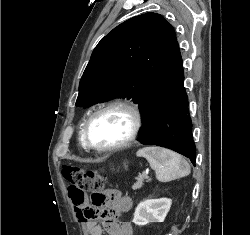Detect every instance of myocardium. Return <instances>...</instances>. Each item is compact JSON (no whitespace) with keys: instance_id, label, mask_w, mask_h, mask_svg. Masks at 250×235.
I'll return each instance as SVG.
<instances>
[{"instance_id":"f54148a6","label":"myocardium","mask_w":250,"mask_h":235,"mask_svg":"<svg viewBox=\"0 0 250 235\" xmlns=\"http://www.w3.org/2000/svg\"><path fill=\"white\" fill-rule=\"evenodd\" d=\"M111 110H121L129 116L131 122L129 132L122 141L116 144L106 147L95 146L89 139V127L98 115ZM141 126L142 114L139 107L135 103L127 100H114L97 108L88 116L82 129L83 144L86 148L99 153L114 152L131 145L136 140Z\"/></svg>"}]
</instances>
